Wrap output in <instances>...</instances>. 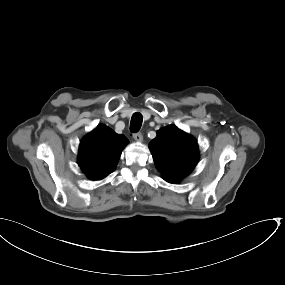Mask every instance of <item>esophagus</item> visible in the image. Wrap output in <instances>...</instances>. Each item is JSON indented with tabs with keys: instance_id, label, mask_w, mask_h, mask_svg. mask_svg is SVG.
Masks as SVG:
<instances>
[{
	"instance_id": "34e87169",
	"label": "esophagus",
	"mask_w": 285,
	"mask_h": 285,
	"mask_svg": "<svg viewBox=\"0 0 285 285\" xmlns=\"http://www.w3.org/2000/svg\"><path fill=\"white\" fill-rule=\"evenodd\" d=\"M133 138L138 141V142H142L143 141V136L140 132L134 133L133 134Z\"/></svg>"
}]
</instances>
